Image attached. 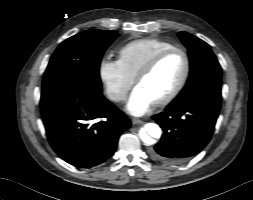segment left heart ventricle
Listing matches in <instances>:
<instances>
[{
    "mask_svg": "<svg viewBox=\"0 0 253 200\" xmlns=\"http://www.w3.org/2000/svg\"><path fill=\"white\" fill-rule=\"evenodd\" d=\"M184 67L183 56L179 53H173L166 57L152 73L144 77L138 86L154 102H157L175 88L183 75Z\"/></svg>",
    "mask_w": 253,
    "mask_h": 200,
    "instance_id": "left-heart-ventricle-1",
    "label": "left heart ventricle"
}]
</instances>
